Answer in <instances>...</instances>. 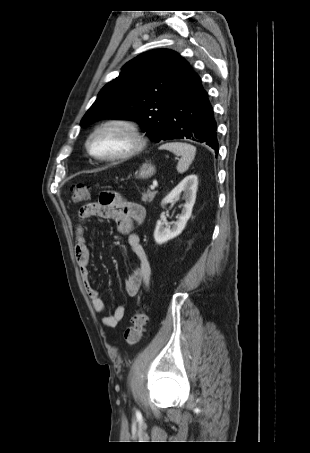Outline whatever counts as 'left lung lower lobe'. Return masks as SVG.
<instances>
[{"instance_id":"0a47b994","label":"left lung lower lobe","mask_w":310,"mask_h":453,"mask_svg":"<svg viewBox=\"0 0 310 453\" xmlns=\"http://www.w3.org/2000/svg\"><path fill=\"white\" fill-rule=\"evenodd\" d=\"M184 138L205 143L218 153L214 111L201 79L192 69L176 105L168 114L160 141Z\"/></svg>"}]
</instances>
